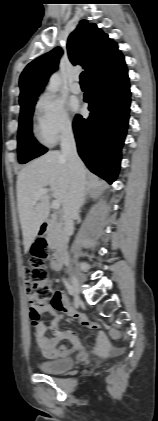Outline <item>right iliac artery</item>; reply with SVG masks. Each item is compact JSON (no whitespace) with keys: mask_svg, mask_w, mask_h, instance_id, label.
Returning a JSON list of instances; mask_svg holds the SVG:
<instances>
[{"mask_svg":"<svg viewBox=\"0 0 158 421\" xmlns=\"http://www.w3.org/2000/svg\"><path fill=\"white\" fill-rule=\"evenodd\" d=\"M63 282H64V285H65L68 293L70 295H74V293H75L74 289L72 288V286L68 283V281L65 278H63Z\"/></svg>","mask_w":158,"mask_h":421,"instance_id":"1","label":"right iliac artery"}]
</instances>
